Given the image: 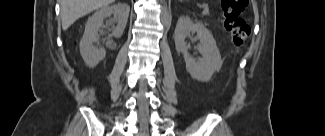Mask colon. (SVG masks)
I'll list each match as a JSON object with an SVG mask.
<instances>
[{
	"mask_svg": "<svg viewBox=\"0 0 325 136\" xmlns=\"http://www.w3.org/2000/svg\"><path fill=\"white\" fill-rule=\"evenodd\" d=\"M248 0H222L224 25L230 33L235 46L246 45L251 35V29L244 17Z\"/></svg>",
	"mask_w": 325,
	"mask_h": 136,
	"instance_id": "obj_1",
	"label": "colon"
}]
</instances>
